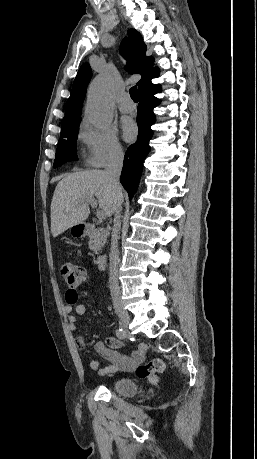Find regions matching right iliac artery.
Masks as SVG:
<instances>
[{"mask_svg":"<svg viewBox=\"0 0 257 459\" xmlns=\"http://www.w3.org/2000/svg\"><path fill=\"white\" fill-rule=\"evenodd\" d=\"M116 336L119 338V339H125L126 338V332L124 329L122 328H119L116 330Z\"/></svg>","mask_w":257,"mask_h":459,"instance_id":"1","label":"right iliac artery"}]
</instances>
